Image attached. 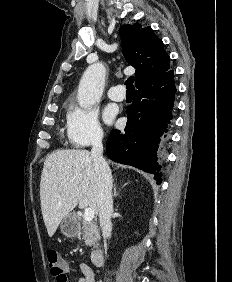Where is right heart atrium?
Listing matches in <instances>:
<instances>
[{
  "instance_id": "d8ad5b80",
  "label": "right heart atrium",
  "mask_w": 232,
  "mask_h": 282,
  "mask_svg": "<svg viewBox=\"0 0 232 282\" xmlns=\"http://www.w3.org/2000/svg\"><path fill=\"white\" fill-rule=\"evenodd\" d=\"M67 137L69 142L78 148L99 142L103 137V130L97 111L72 106L67 115Z\"/></svg>"
}]
</instances>
